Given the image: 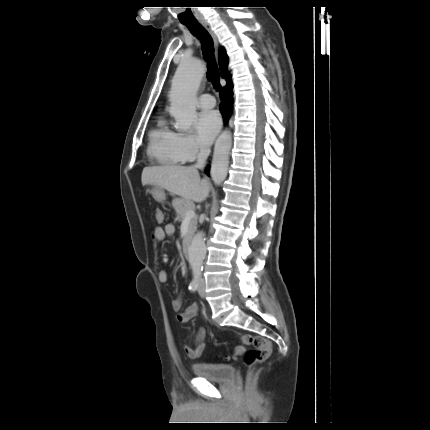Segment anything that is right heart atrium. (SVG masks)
<instances>
[{
	"label": "right heart atrium",
	"instance_id": "d8ad5b80",
	"mask_svg": "<svg viewBox=\"0 0 430 430\" xmlns=\"http://www.w3.org/2000/svg\"><path fill=\"white\" fill-rule=\"evenodd\" d=\"M176 144L184 161H192L207 152V149L190 134L178 133Z\"/></svg>",
	"mask_w": 430,
	"mask_h": 430
}]
</instances>
